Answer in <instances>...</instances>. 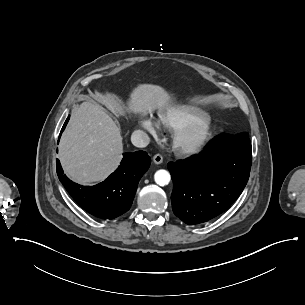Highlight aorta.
Returning <instances> with one entry per match:
<instances>
[{
	"label": "aorta",
	"mask_w": 305,
	"mask_h": 305,
	"mask_svg": "<svg viewBox=\"0 0 305 305\" xmlns=\"http://www.w3.org/2000/svg\"><path fill=\"white\" fill-rule=\"evenodd\" d=\"M155 182L160 186H165L169 184L171 176L166 170H158L154 175Z\"/></svg>",
	"instance_id": "1"
}]
</instances>
